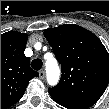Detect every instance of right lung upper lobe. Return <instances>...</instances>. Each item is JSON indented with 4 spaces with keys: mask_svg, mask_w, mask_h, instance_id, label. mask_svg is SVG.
<instances>
[{
    "mask_svg": "<svg viewBox=\"0 0 109 109\" xmlns=\"http://www.w3.org/2000/svg\"><path fill=\"white\" fill-rule=\"evenodd\" d=\"M27 34L9 31L1 34V109L15 104L24 94L29 80L39 74L30 68L25 56Z\"/></svg>",
    "mask_w": 109,
    "mask_h": 109,
    "instance_id": "right-lung-upper-lobe-1",
    "label": "right lung upper lobe"
}]
</instances>
